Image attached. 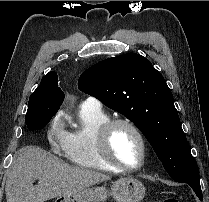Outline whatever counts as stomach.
Segmentation results:
<instances>
[{"label": "stomach", "mask_w": 209, "mask_h": 202, "mask_svg": "<svg viewBox=\"0 0 209 202\" xmlns=\"http://www.w3.org/2000/svg\"><path fill=\"white\" fill-rule=\"evenodd\" d=\"M145 194L142 182L134 178H121L112 184L110 190L105 186L88 187L59 196L55 202H105L108 196H112L116 202H140Z\"/></svg>", "instance_id": "0dacf381"}]
</instances>
